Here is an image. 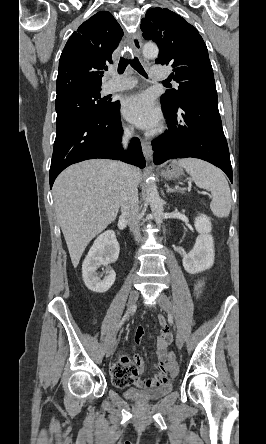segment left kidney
<instances>
[{
  "label": "left kidney",
  "instance_id": "1",
  "mask_svg": "<svg viewBox=\"0 0 266 444\" xmlns=\"http://www.w3.org/2000/svg\"><path fill=\"white\" fill-rule=\"evenodd\" d=\"M194 226L199 233L194 248L183 256V266L190 274L210 269L214 264V240L210 232L209 218L201 214L195 218Z\"/></svg>",
  "mask_w": 266,
  "mask_h": 444
}]
</instances>
